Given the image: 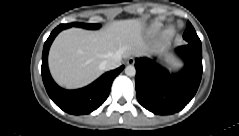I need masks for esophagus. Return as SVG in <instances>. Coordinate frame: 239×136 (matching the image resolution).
Instances as JSON below:
<instances>
[{"label": "esophagus", "instance_id": "1", "mask_svg": "<svg viewBox=\"0 0 239 136\" xmlns=\"http://www.w3.org/2000/svg\"><path fill=\"white\" fill-rule=\"evenodd\" d=\"M135 62L134 58L130 57L128 60H127V64L128 65H133Z\"/></svg>", "mask_w": 239, "mask_h": 136}]
</instances>
